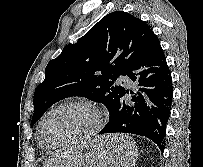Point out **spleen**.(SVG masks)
<instances>
[{"label": "spleen", "instance_id": "obj_1", "mask_svg": "<svg viewBox=\"0 0 203 167\" xmlns=\"http://www.w3.org/2000/svg\"><path fill=\"white\" fill-rule=\"evenodd\" d=\"M116 149L111 151L112 167H135L137 160V148L134 142L126 146L115 145Z\"/></svg>", "mask_w": 203, "mask_h": 167}]
</instances>
